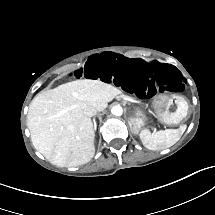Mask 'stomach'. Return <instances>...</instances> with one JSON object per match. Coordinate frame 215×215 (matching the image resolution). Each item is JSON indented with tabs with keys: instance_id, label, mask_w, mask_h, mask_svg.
<instances>
[{
	"instance_id": "1",
	"label": "stomach",
	"mask_w": 215,
	"mask_h": 215,
	"mask_svg": "<svg viewBox=\"0 0 215 215\" xmlns=\"http://www.w3.org/2000/svg\"><path fill=\"white\" fill-rule=\"evenodd\" d=\"M153 115L166 125H178L187 120L188 103L183 96L175 94H162L152 103ZM148 117L144 110L136 107L129 119V126L133 132H138L147 123Z\"/></svg>"
}]
</instances>
